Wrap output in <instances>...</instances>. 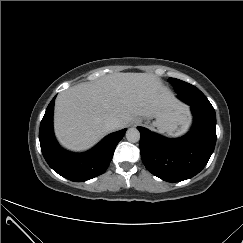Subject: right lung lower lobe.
Wrapping results in <instances>:
<instances>
[{
    "label": "right lung lower lobe",
    "instance_id": "1",
    "mask_svg": "<svg viewBox=\"0 0 243 243\" xmlns=\"http://www.w3.org/2000/svg\"><path fill=\"white\" fill-rule=\"evenodd\" d=\"M55 98L56 96L46 109L39 131L40 146L45 160L55 172L71 181L83 182L101 175L106 171L126 129L109 134L88 152H67L59 146L53 133Z\"/></svg>",
    "mask_w": 243,
    "mask_h": 243
}]
</instances>
